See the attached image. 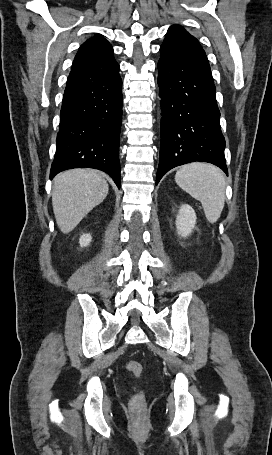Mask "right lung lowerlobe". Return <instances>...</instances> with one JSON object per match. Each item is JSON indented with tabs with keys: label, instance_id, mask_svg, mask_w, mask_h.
Segmentation results:
<instances>
[{
	"label": "right lung lower lobe",
	"instance_id": "right-lung-lower-lobe-1",
	"mask_svg": "<svg viewBox=\"0 0 272 455\" xmlns=\"http://www.w3.org/2000/svg\"><path fill=\"white\" fill-rule=\"evenodd\" d=\"M121 86L117 71L65 89L50 179L66 169L89 167L108 173L120 188Z\"/></svg>",
	"mask_w": 272,
	"mask_h": 455
}]
</instances>
